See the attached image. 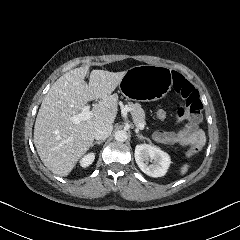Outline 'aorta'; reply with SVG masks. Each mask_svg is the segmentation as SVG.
<instances>
[{"instance_id": "1", "label": "aorta", "mask_w": 240, "mask_h": 240, "mask_svg": "<svg viewBox=\"0 0 240 240\" xmlns=\"http://www.w3.org/2000/svg\"><path fill=\"white\" fill-rule=\"evenodd\" d=\"M114 138L118 142H125L128 138V133L125 130H117L114 134Z\"/></svg>"}]
</instances>
